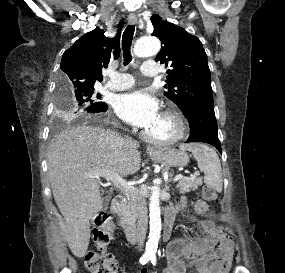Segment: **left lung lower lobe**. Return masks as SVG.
I'll return each instance as SVG.
<instances>
[{
	"label": "left lung lower lobe",
	"instance_id": "0a47b994",
	"mask_svg": "<svg viewBox=\"0 0 285 273\" xmlns=\"http://www.w3.org/2000/svg\"><path fill=\"white\" fill-rule=\"evenodd\" d=\"M190 124V136L187 142H205L215 146L220 153L217 122L214 105H199L183 111Z\"/></svg>",
	"mask_w": 285,
	"mask_h": 273
}]
</instances>
